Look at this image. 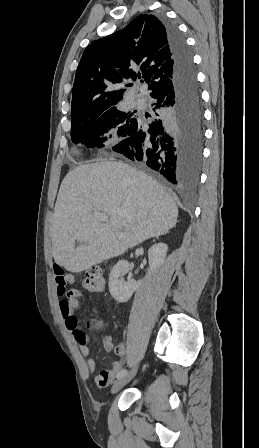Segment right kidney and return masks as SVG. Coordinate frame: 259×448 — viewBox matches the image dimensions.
Returning a JSON list of instances; mask_svg holds the SVG:
<instances>
[{
  "mask_svg": "<svg viewBox=\"0 0 259 448\" xmlns=\"http://www.w3.org/2000/svg\"><path fill=\"white\" fill-rule=\"evenodd\" d=\"M168 246L167 244H155L148 250L149 270L147 274L151 276L153 272H158L160 266L164 264ZM130 270V264L127 260H119L115 264L109 276V292L117 302H128L133 292L139 288L142 280L135 282L131 276H128V282L121 278L122 274H127Z\"/></svg>",
  "mask_w": 259,
  "mask_h": 448,
  "instance_id": "obj_1",
  "label": "right kidney"
}]
</instances>
